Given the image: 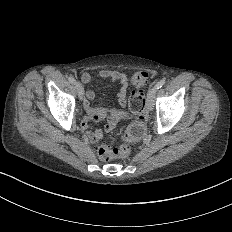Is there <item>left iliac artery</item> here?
Instances as JSON below:
<instances>
[{"mask_svg":"<svg viewBox=\"0 0 232 232\" xmlns=\"http://www.w3.org/2000/svg\"><path fill=\"white\" fill-rule=\"evenodd\" d=\"M166 83V81L163 79L161 81H159L155 86H154V90H158L160 89L164 84Z\"/></svg>","mask_w":232,"mask_h":232,"instance_id":"obj_1","label":"left iliac artery"}]
</instances>
